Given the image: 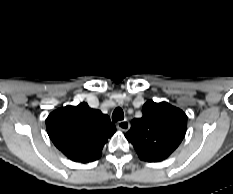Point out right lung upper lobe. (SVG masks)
Instances as JSON below:
<instances>
[{"label":"right lung upper lobe","mask_w":233,"mask_h":194,"mask_svg":"<svg viewBox=\"0 0 233 194\" xmlns=\"http://www.w3.org/2000/svg\"><path fill=\"white\" fill-rule=\"evenodd\" d=\"M46 126L55 146L72 161L81 163L99 159L104 144L116 131L109 116L87 103L53 111Z\"/></svg>","instance_id":"1"}]
</instances>
